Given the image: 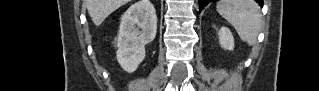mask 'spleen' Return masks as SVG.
Masks as SVG:
<instances>
[{
    "label": "spleen",
    "mask_w": 319,
    "mask_h": 91,
    "mask_svg": "<svg viewBox=\"0 0 319 91\" xmlns=\"http://www.w3.org/2000/svg\"><path fill=\"white\" fill-rule=\"evenodd\" d=\"M218 13L237 31L240 38L253 45L261 30L262 15L253 0H222L217 3Z\"/></svg>",
    "instance_id": "obj_1"
}]
</instances>
